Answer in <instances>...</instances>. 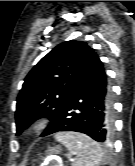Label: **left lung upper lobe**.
Returning <instances> with one entry per match:
<instances>
[{
    "label": "left lung upper lobe",
    "mask_w": 135,
    "mask_h": 166,
    "mask_svg": "<svg viewBox=\"0 0 135 166\" xmlns=\"http://www.w3.org/2000/svg\"><path fill=\"white\" fill-rule=\"evenodd\" d=\"M94 55L86 42L71 40L59 44L34 66L17 98V135L24 125L39 118L55 121Z\"/></svg>",
    "instance_id": "5c2ea615"
}]
</instances>
